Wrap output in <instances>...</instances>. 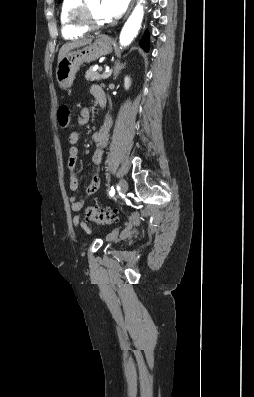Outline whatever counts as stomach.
<instances>
[{
  "mask_svg": "<svg viewBox=\"0 0 254 397\" xmlns=\"http://www.w3.org/2000/svg\"><path fill=\"white\" fill-rule=\"evenodd\" d=\"M113 41L108 36H101L93 43L81 48L69 51L56 67V79L62 88L72 86L75 75L83 63H90L101 56L112 52Z\"/></svg>",
  "mask_w": 254,
  "mask_h": 397,
  "instance_id": "obj_1",
  "label": "stomach"
}]
</instances>
